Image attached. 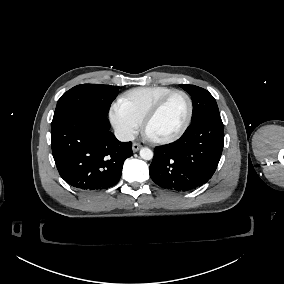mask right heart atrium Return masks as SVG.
<instances>
[{"mask_svg":"<svg viewBox=\"0 0 284 284\" xmlns=\"http://www.w3.org/2000/svg\"><path fill=\"white\" fill-rule=\"evenodd\" d=\"M109 121L115 134L123 141L135 138L140 129L139 122L131 115L113 105L109 110Z\"/></svg>","mask_w":284,"mask_h":284,"instance_id":"right-heart-atrium-1","label":"right heart atrium"}]
</instances>
